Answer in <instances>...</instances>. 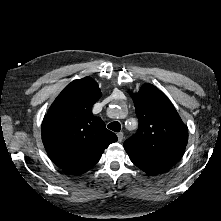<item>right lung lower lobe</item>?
<instances>
[{"instance_id": "1", "label": "right lung lower lobe", "mask_w": 221, "mask_h": 221, "mask_svg": "<svg viewBox=\"0 0 221 221\" xmlns=\"http://www.w3.org/2000/svg\"><path fill=\"white\" fill-rule=\"evenodd\" d=\"M98 161L99 160L87 161V162L66 168L64 169V171L71 173V174H83L86 171H88L90 168H92Z\"/></svg>"}]
</instances>
